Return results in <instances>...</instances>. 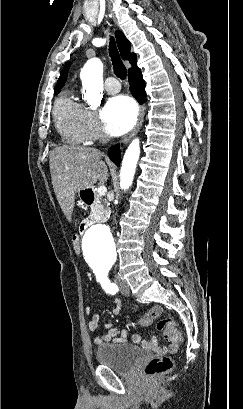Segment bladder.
I'll return each instance as SVG.
<instances>
[{
	"instance_id": "1",
	"label": "bladder",
	"mask_w": 243,
	"mask_h": 409,
	"mask_svg": "<svg viewBox=\"0 0 243 409\" xmlns=\"http://www.w3.org/2000/svg\"><path fill=\"white\" fill-rule=\"evenodd\" d=\"M147 356V350L128 343L104 344L96 349V358L101 365L123 374L129 373Z\"/></svg>"
}]
</instances>
